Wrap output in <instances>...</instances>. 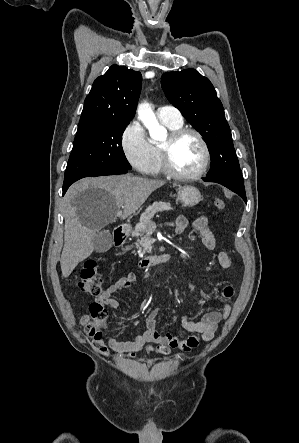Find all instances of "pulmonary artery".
<instances>
[{
    "label": "pulmonary artery",
    "instance_id": "pulmonary-artery-1",
    "mask_svg": "<svg viewBox=\"0 0 299 443\" xmlns=\"http://www.w3.org/2000/svg\"><path fill=\"white\" fill-rule=\"evenodd\" d=\"M157 113L161 120L170 121L173 123L183 122V117L180 111L173 106H161L158 108Z\"/></svg>",
    "mask_w": 299,
    "mask_h": 443
}]
</instances>
